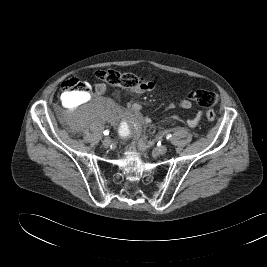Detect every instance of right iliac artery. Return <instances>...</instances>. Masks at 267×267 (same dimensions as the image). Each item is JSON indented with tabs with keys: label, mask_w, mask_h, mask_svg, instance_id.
Listing matches in <instances>:
<instances>
[{
	"label": "right iliac artery",
	"mask_w": 267,
	"mask_h": 267,
	"mask_svg": "<svg viewBox=\"0 0 267 267\" xmlns=\"http://www.w3.org/2000/svg\"><path fill=\"white\" fill-rule=\"evenodd\" d=\"M108 134H109V130H105L104 135H108Z\"/></svg>",
	"instance_id": "obj_1"
}]
</instances>
